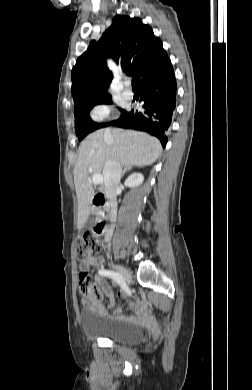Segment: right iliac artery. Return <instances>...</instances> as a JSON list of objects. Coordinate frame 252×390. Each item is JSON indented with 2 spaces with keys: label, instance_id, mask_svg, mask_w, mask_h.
Returning a JSON list of instances; mask_svg holds the SVG:
<instances>
[{
  "label": "right iliac artery",
  "instance_id": "1",
  "mask_svg": "<svg viewBox=\"0 0 252 390\" xmlns=\"http://www.w3.org/2000/svg\"><path fill=\"white\" fill-rule=\"evenodd\" d=\"M99 274L102 276L112 278L114 281H116L119 284L120 287H122L123 290H125V292L127 293L128 296H130V298H133V292L131 291L130 286L127 285L125 277L122 276L121 273H117L112 270H107L102 268L101 270H99Z\"/></svg>",
  "mask_w": 252,
  "mask_h": 390
}]
</instances>
